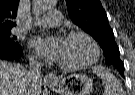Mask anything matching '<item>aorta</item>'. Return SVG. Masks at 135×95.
Wrapping results in <instances>:
<instances>
[{"instance_id": "1", "label": "aorta", "mask_w": 135, "mask_h": 95, "mask_svg": "<svg viewBox=\"0 0 135 95\" xmlns=\"http://www.w3.org/2000/svg\"><path fill=\"white\" fill-rule=\"evenodd\" d=\"M54 5L53 0H35L34 7L38 12L45 11Z\"/></svg>"}]
</instances>
